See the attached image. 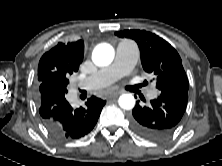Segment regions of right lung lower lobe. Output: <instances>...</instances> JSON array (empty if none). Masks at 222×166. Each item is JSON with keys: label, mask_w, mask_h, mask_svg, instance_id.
I'll return each mask as SVG.
<instances>
[{"label": "right lung lower lobe", "mask_w": 222, "mask_h": 166, "mask_svg": "<svg viewBox=\"0 0 222 166\" xmlns=\"http://www.w3.org/2000/svg\"><path fill=\"white\" fill-rule=\"evenodd\" d=\"M67 88L52 81L39 83L36 100L42 122L57 140L78 139L95 126L106 101L95 96L84 107L73 108L65 98Z\"/></svg>", "instance_id": "1"}]
</instances>
